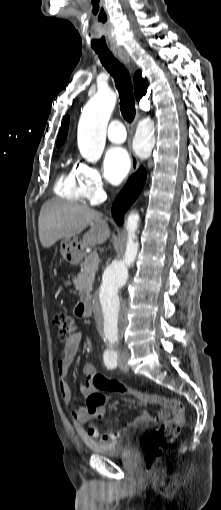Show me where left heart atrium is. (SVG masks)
<instances>
[{"instance_id": "obj_1", "label": "left heart atrium", "mask_w": 221, "mask_h": 510, "mask_svg": "<svg viewBox=\"0 0 221 510\" xmlns=\"http://www.w3.org/2000/svg\"><path fill=\"white\" fill-rule=\"evenodd\" d=\"M106 177L112 184H119L130 170V157L127 150L120 146L109 148L104 157Z\"/></svg>"}]
</instances>
